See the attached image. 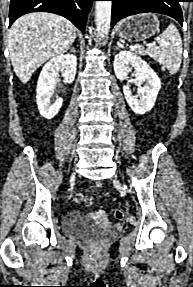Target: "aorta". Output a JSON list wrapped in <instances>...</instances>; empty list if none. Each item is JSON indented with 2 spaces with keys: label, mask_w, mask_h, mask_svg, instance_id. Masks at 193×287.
I'll list each match as a JSON object with an SVG mask.
<instances>
[{
  "label": "aorta",
  "mask_w": 193,
  "mask_h": 287,
  "mask_svg": "<svg viewBox=\"0 0 193 287\" xmlns=\"http://www.w3.org/2000/svg\"><path fill=\"white\" fill-rule=\"evenodd\" d=\"M111 1H96L95 23L99 40L105 44L108 38L111 23Z\"/></svg>",
  "instance_id": "aorta-1"
}]
</instances>
